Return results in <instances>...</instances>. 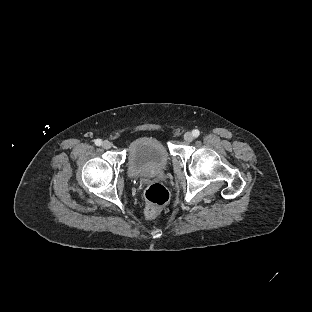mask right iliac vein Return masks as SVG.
<instances>
[{
	"mask_svg": "<svg viewBox=\"0 0 312 312\" xmlns=\"http://www.w3.org/2000/svg\"><path fill=\"white\" fill-rule=\"evenodd\" d=\"M111 146H112V144H111V142L110 141H104L103 143H102V147L103 148H105V149H109V148H111Z\"/></svg>",
	"mask_w": 312,
	"mask_h": 312,
	"instance_id": "obj_1",
	"label": "right iliac vein"
}]
</instances>
